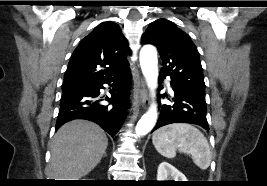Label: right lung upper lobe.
Returning a JSON list of instances; mask_svg holds the SVG:
<instances>
[{
    "mask_svg": "<svg viewBox=\"0 0 267 186\" xmlns=\"http://www.w3.org/2000/svg\"><path fill=\"white\" fill-rule=\"evenodd\" d=\"M128 54L131 50L119 25L111 21L103 22L74 50L62 86L114 74L129 65Z\"/></svg>",
    "mask_w": 267,
    "mask_h": 186,
    "instance_id": "cb5924a9",
    "label": "right lung upper lobe"
}]
</instances>
